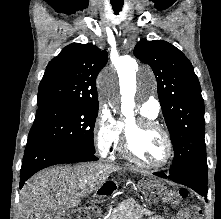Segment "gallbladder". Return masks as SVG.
<instances>
[{
	"mask_svg": "<svg viewBox=\"0 0 221 219\" xmlns=\"http://www.w3.org/2000/svg\"><path fill=\"white\" fill-rule=\"evenodd\" d=\"M41 219H63L59 211H47Z\"/></svg>",
	"mask_w": 221,
	"mask_h": 219,
	"instance_id": "obj_1",
	"label": "gallbladder"
}]
</instances>
